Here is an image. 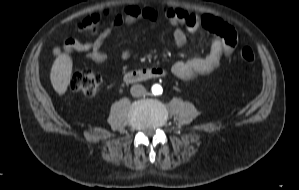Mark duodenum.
Segmentation results:
<instances>
[{
  "label": "duodenum",
  "mask_w": 299,
  "mask_h": 190,
  "mask_svg": "<svg viewBox=\"0 0 299 190\" xmlns=\"http://www.w3.org/2000/svg\"><path fill=\"white\" fill-rule=\"evenodd\" d=\"M166 75V72L161 68H143L128 71L124 75V80L126 83H137L140 81H145L153 78H161Z\"/></svg>",
  "instance_id": "obj_1"
}]
</instances>
